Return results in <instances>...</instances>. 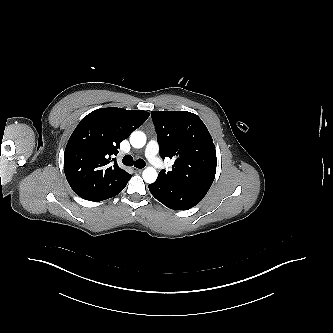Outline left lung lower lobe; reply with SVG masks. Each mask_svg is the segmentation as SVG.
Masks as SVG:
<instances>
[{
  "mask_svg": "<svg viewBox=\"0 0 333 333\" xmlns=\"http://www.w3.org/2000/svg\"><path fill=\"white\" fill-rule=\"evenodd\" d=\"M148 188L158 201L173 210L190 209L207 194L200 189L175 185L164 177H158Z\"/></svg>",
  "mask_w": 333,
  "mask_h": 333,
  "instance_id": "obj_1",
  "label": "left lung lower lobe"
}]
</instances>
